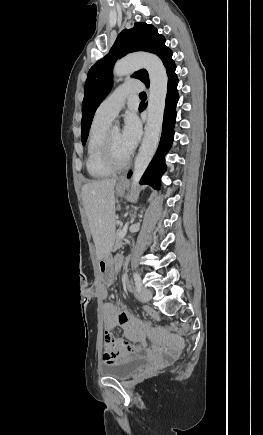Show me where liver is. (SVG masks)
<instances>
[{"label": "liver", "mask_w": 263, "mask_h": 435, "mask_svg": "<svg viewBox=\"0 0 263 435\" xmlns=\"http://www.w3.org/2000/svg\"><path fill=\"white\" fill-rule=\"evenodd\" d=\"M116 182V178L97 180L82 188V201L98 259L109 254L114 241Z\"/></svg>", "instance_id": "6515ba94"}]
</instances>
